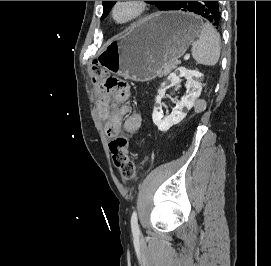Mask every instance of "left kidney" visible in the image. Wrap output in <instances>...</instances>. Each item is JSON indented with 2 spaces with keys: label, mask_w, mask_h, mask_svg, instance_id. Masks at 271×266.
Instances as JSON below:
<instances>
[{
  "label": "left kidney",
  "mask_w": 271,
  "mask_h": 266,
  "mask_svg": "<svg viewBox=\"0 0 271 266\" xmlns=\"http://www.w3.org/2000/svg\"><path fill=\"white\" fill-rule=\"evenodd\" d=\"M200 76L201 74L198 71L188 70L183 67L178 68L168 76V80L171 82L170 86H178L181 81L180 78L185 77L187 79L186 88L189 93L182 97L181 100L175 99L176 107L170 115L164 117L161 100L164 98L166 88L158 91L156 106L152 114L153 123L158 127V130L166 132L186 117L187 111L193 107L195 100L201 94L202 84L197 80Z\"/></svg>",
  "instance_id": "1"
}]
</instances>
